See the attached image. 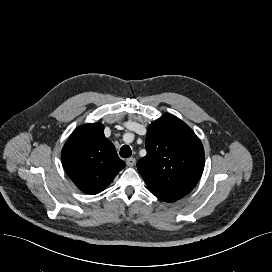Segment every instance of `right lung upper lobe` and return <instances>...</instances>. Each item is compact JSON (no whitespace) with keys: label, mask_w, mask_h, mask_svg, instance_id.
Returning <instances> with one entry per match:
<instances>
[{"label":"right lung upper lobe","mask_w":272,"mask_h":272,"mask_svg":"<svg viewBox=\"0 0 272 272\" xmlns=\"http://www.w3.org/2000/svg\"><path fill=\"white\" fill-rule=\"evenodd\" d=\"M61 156L71 180L88 194L103 191L125 167L114 145L104 136V126L100 123L76 128Z\"/></svg>","instance_id":"obj_1"}]
</instances>
